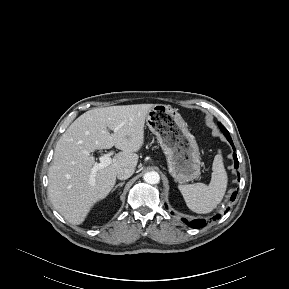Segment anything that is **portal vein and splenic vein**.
<instances>
[{
  "label": "portal vein and splenic vein",
  "instance_id": "portal-vein-and-splenic-vein-1",
  "mask_svg": "<svg viewBox=\"0 0 289 289\" xmlns=\"http://www.w3.org/2000/svg\"><path fill=\"white\" fill-rule=\"evenodd\" d=\"M84 154H88L87 151H84L83 152ZM114 154L113 151L111 152H108L102 156L99 157V161L100 163H96L93 167H92V170H91V175H90V178H91V181H93L94 179V176L96 174V172L100 169H103L105 167H107L108 165H110L112 163V159H111V156Z\"/></svg>",
  "mask_w": 289,
  "mask_h": 289
}]
</instances>
